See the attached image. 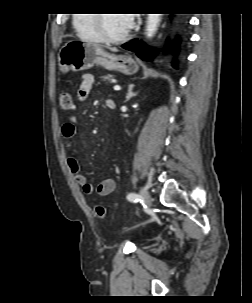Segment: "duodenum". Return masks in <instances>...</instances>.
<instances>
[{"label": "duodenum", "instance_id": "410a0bca", "mask_svg": "<svg viewBox=\"0 0 252 303\" xmlns=\"http://www.w3.org/2000/svg\"><path fill=\"white\" fill-rule=\"evenodd\" d=\"M107 107L110 108V109H112V108L115 107V103H114L113 101H109V102L107 103Z\"/></svg>", "mask_w": 252, "mask_h": 303}]
</instances>
